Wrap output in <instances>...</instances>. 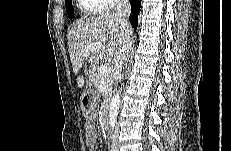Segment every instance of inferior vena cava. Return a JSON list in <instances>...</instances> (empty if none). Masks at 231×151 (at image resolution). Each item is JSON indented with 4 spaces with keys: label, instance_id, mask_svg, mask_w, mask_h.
I'll use <instances>...</instances> for the list:
<instances>
[{
    "label": "inferior vena cava",
    "instance_id": "1",
    "mask_svg": "<svg viewBox=\"0 0 231 151\" xmlns=\"http://www.w3.org/2000/svg\"><path fill=\"white\" fill-rule=\"evenodd\" d=\"M131 13V5L128 0H115L114 10L112 16L118 21L120 27L125 31V33H130L131 27L128 23V17ZM131 44H129L122 51L119 61V69L122 68L123 62L125 60L126 54L129 53ZM118 128L115 127L114 134L112 135V144L115 145L117 142Z\"/></svg>",
    "mask_w": 231,
    "mask_h": 151
}]
</instances>
